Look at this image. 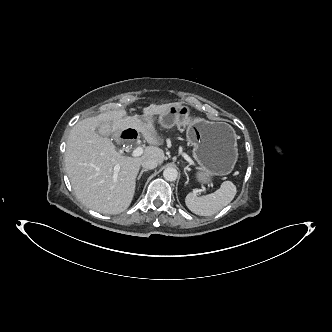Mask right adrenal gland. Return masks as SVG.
Instances as JSON below:
<instances>
[{"instance_id":"right-adrenal-gland-1","label":"right adrenal gland","mask_w":332,"mask_h":332,"mask_svg":"<svg viewBox=\"0 0 332 332\" xmlns=\"http://www.w3.org/2000/svg\"><path fill=\"white\" fill-rule=\"evenodd\" d=\"M146 171H148V169H142L141 172H140V174H139V176H138V178H137V180H140L142 174H143L144 172H146Z\"/></svg>"}]
</instances>
